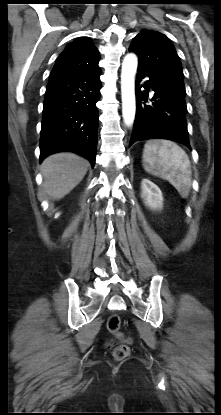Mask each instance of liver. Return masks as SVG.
<instances>
[{"instance_id": "obj_1", "label": "liver", "mask_w": 221, "mask_h": 415, "mask_svg": "<svg viewBox=\"0 0 221 415\" xmlns=\"http://www.w3.org/2000/svg\"><path fill=\"white\" fill-rule=\"evenodd\" d=\"M89 163L69 152L48 156L41 164L44 192L54 200L69 194L84 178Z\"/></svg>"}]
</instances>
